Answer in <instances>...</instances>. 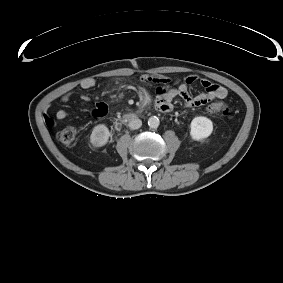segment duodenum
<instances>
[{"label": "duodenum", "mask_w": 283, "mask_h": 283, "mask_svg": "<svg viewBox=\"0 0 283 283\" xmlns=\"http://www.w3.org/2000/svg\"><path fill=\"white\" fill-rule=\"evenodd\" d=\"M136 118H137V115H135V114H129L126 117L127 120H133V119H136Z\"/></svg>", "instance_id": "obj_1"}]
</instances>
